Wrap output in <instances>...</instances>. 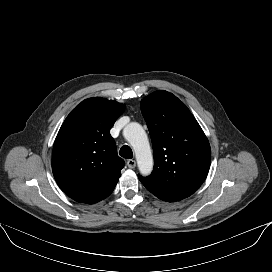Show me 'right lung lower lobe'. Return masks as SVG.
Here are the masks:
<instances>
[{
    "instance_id": "obj_1",
    "label": "right lung lower lobe",
    "mask_w": 272,
    "mask_h": 272,
    "mask_svg": "<svg viewBox=\"0 0 272 272\" xmlns=\"http://www.w3.org/2000/svg\"><path fill=\"white\" fill-rule=\"evenodd\" d=\"M116 184H117V183H116ZM116 184H114L111 188H109L107 191H105V192H104L98 199H96L93 203L99 202V201L105 199L106 197H108V196L112 193V191L114 190ZM93 203H92V204H93Z\"/></svg>"
}]
</instances>
